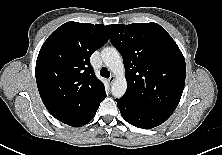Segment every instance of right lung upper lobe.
Segmentation results:
<instances>
[{
  "instance_id": "cb5924a9",
  "label": "right lung upper lobe",
  "mask_w": 222,
  "mask_h": 155,
  "mask_svg": "<svg viewBox=\"0 0 222 155\" xmlns=\"http://www.w3.org/2000/svg\"><path fill=\"white\" fill-rule=\"evenodd\" d=\"M108 39L103 24L67 22L42 45L36 61V82L44 105L59 121L84 116L106 97L90 56Z\"/></svg>"
}]
</instances>
